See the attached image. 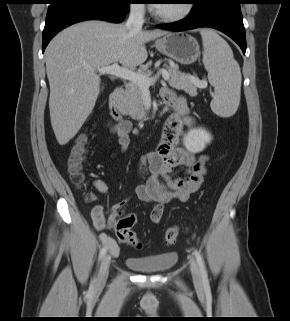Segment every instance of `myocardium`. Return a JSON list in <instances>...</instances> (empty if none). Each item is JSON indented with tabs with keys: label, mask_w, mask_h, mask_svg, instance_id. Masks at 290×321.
<instances>
[{
	"label": "myocardium",
	"mask_w": 290,
	"mask_h": 321,
	"mask_svg": "<svg viewBox=\"0 0 290 321\" xmlns=\"http://www.w3.org/2000/svg\"><path fill=\"white\" fill-rule=\"evenodd\" d=\"M156 6L157 5L153 6L152 8V15L158 21H161L164 23H175V22L181 21L186 17H188L193 10V3L191 2V0L183 1V6L181 7V9L174 14L162 13L156 8Z\"/></svg>",
	"instance_id": "1"
}]
</instances>
